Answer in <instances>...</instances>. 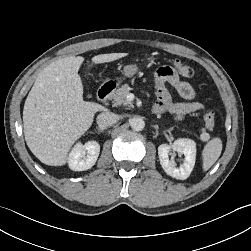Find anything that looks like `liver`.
I'll list each match as a JSON object with an SVG mask.
<instances>
[{
    "mask_svg": "<svg viewBox=\"0 0 251 251\" xmlns=\"http://www.w3.org/2000/svg\"><path fill=\"white\" fill-rule=\"evenodd\" d=\"M109 53L94 56L95 64L127 56ZM83 58L69 56L44 68L35 80L23 109L26 143L44 164L62 166L72 145L92 125L94 115L105 107L83 100V85L78 74Z\"/></svg>",
    "mask_w": 251,
    "mask_h": 251,
    "instance_id": "liver-1",
    "label": "liver"
}]
</instances>
